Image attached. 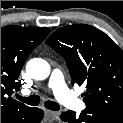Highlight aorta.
<instances>
[{"label":"aorta","instance_id":"aorta-1","mask_svg":"<svg viewBox=\"0 0 123 123\" xmlns=\"http://www.w3.org/2000/svg\"><path fill=\"white\" fill-rule=\"evenodd\" d=\"M26 71L32 79L43 80L49 76L50 66L44 59L33 58L28 61Z\"/></svg>","mask_w":123,"mask_h":123}]
</instances>
